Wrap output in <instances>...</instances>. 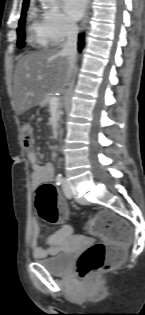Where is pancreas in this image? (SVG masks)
Listing matches in <instances>:
<instances>
[{"mask_svg":"<svg viewBox=\"0 0 145 315\" xmlns=\"http://www.w3.org/2000/svg\"><path fill=\"white\" fill-rule=\"evenodd\" d=\"M50 99H51V96L48 95V96L45 97V99L42 101V103L45 104V105L49 104L50 103Z\"/></svg>","mask_w":145,"mask_h":315,"instance_id":"pancreas-1","label":"pancreas"}]
</instances>
